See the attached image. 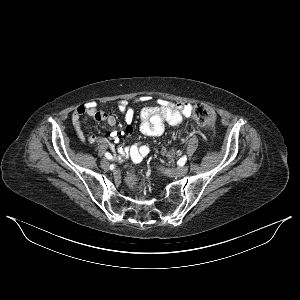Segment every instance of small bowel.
<instances>
[{
    "instance_id": "c3829d8e",
    "label": "small bowel",
    "mask_w": 300,
    "mask_h": 300,
    "mask_svg": "<svg viewBox=\"0 0 300 300\" xmlns=\"http://www.w3.org/2000/svg\"><path fill=\"white\" fill-rule=\"evenodd\" d=\"M147 98L141 97L134 102L122 99L118 102V109L123 115L125 121L124 134L133 133L134 108L136 102L146 101ZM192 113V105L189 103H173L167 100L159 99L155 106L144 107L140 112L139 131L149 137H156L163 134L165 125H178L184 118L189 117ZM82 118H93L96 121L104 122L110 127L117 123L116 118L100 109L96 103H86L78 106L72 114V124L79 140L82 142H102L103 139L93 134L85 135L81 124ZM114 139L117 138V132L112 133ZM120 157H129L134 162H140L149 153V147L145 144H133L131 146L119 147Z\"/></svg>"
}]
</instances>
